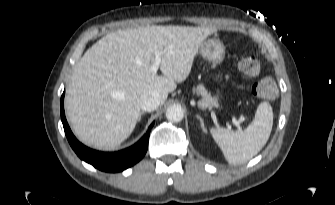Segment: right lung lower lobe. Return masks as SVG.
<instances>
[{
	"label": "right lung lower lobe",
	"instance_id": "1",
	"mask_svg": "<svg viewBox=\"0 0 335 205\" xmlns=\"http://www.w3.org/2000/svg\"><path fill=\"white\" fill-rule=\"evenodd\" d=\"M64 93L61 96L60 110L65 135L75 151L84 161L93 165L95 168L105 172H120L140 161L148 148V140L154 122L148 128L146 134L133 146L114 153H104L92 150L81 144L73 135L66 121L64 113Z\"/></svg>",
	"mask_w": 335,
	"mask_h": 205
}]
</instances>
